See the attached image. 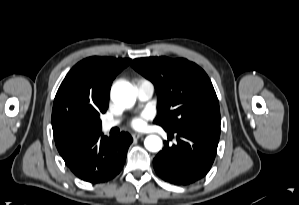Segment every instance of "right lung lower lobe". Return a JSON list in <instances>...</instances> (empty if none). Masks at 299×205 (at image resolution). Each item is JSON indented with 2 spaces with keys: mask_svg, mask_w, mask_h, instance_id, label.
<instances>
[{
  "mask_svg": "<svg viewBox=\"0 0 299 205\" xmlns=\"http://www.w3.org/2000/svg\"><path fill=\"white\" fill-rule=\"evenodd\" d=\"M132 141L130 134L125 132L116 138H108L99 132L79 141L62 158L80 179L94 184L104 183L121 172Z\"/></svg>",
  "mask_w": 299,
  "mask_h": 205,
  "instance_id": "obj_1",
  "label": "right lung lower lobe"
}]
</instances>
